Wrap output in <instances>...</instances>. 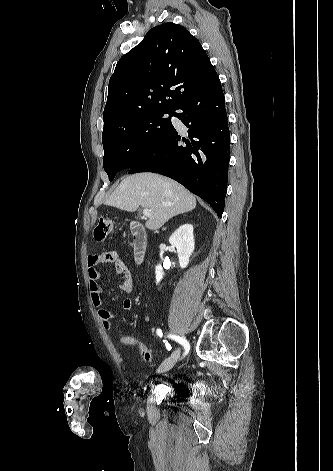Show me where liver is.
I'll return each mask as SVG.
<instances>
[{"mask_svg": "<svg viewBox=\"0 0 333 471\" xmlns=\"http://www.w3.org/2000/svg\"><path fill=\"white\" fill-rule=\"evenodd\" d=\"M104 203L127 212H135L139 207L151 209L145 226L158 230L172 217L193 210L196 198L172 179L138 173L125 178Z\"/></svg>", "mask_w": 333, "mask_h": 471, "instance_id": "liver-1", "label": "liver"}]
</instances>
